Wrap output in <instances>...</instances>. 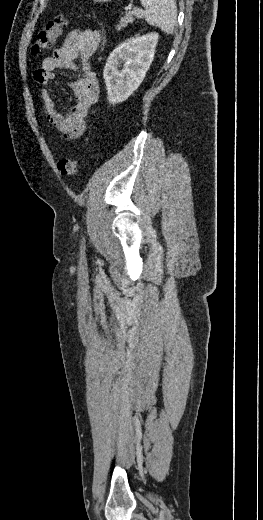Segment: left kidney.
Masks as SVG:
<instances>
[{
    "instance_id": "left-kidney-1",
    "label": "left kidney",
    "mask_w": 263,
    "mask_h": 520,
    "mask_svg": "<svg viewBox=\"0 0 263 520\" xmlns=\"http://www.w3.org/2000/svg\"><path fill=\"white\" fill-rule=\"evenodd\" d=\"M158 37L149 33L128 39L110 54L103 72L109 103L125 101L142 83L154 59ZM121 62L124 65L119 69Z\"/></svg>"
}]
</instances>
